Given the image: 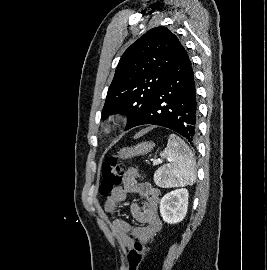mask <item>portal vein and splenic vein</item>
<instances>
[{
  "label": "portal vein and splenic vein",
  "mask_w": 267,
  "mask_h": 270,
  "mask_svg": "<svg viewBox=\"0 0 267 270\" xmlns=\"http://www.w3.org/2000/svg\"><path fill=\"white\" fill-rule=\"evenodd\" d=\"M160 162H161L160 159H155V160H153V164H154V165H157V164L160 163Z\"/></svg>",
  "instance_id": "obj_1"
}]
</instances>
